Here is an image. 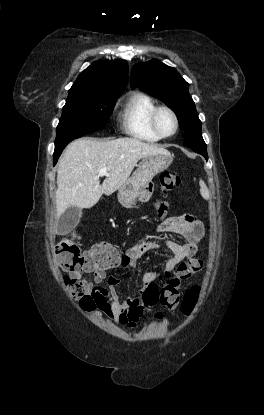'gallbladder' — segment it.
I'll return each mask as SVG.
<instances>
[{"mask_svg":"<svg viewBox=\"0 0 264 415\" xmlns=\"http://www.w3.org/2000/svg\"><path fill=\"white\" fill-rule=\"evenodd\" d=\"M82 216V209L78 207H69L60 216L58 221V234L65 235L70 233L78 225Z\"/></svg>","mask_w":264,"mask_h":415,"instance_id":"1","label":"gallbladder"}]
</instances>
